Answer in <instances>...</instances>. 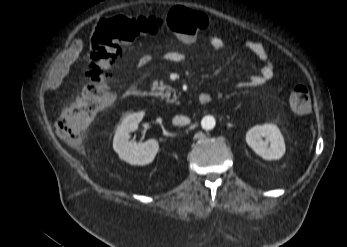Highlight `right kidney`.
<instances>
[{"label": "right kidney", "mask_w": 347, "mask_h": 247, "mask_svg": "<svg viewBox=\"0 0 347 247\" xmlns=\"http://www.w3.org/2000/svg\"><path fill=\"white\" fill-rule=\"evenodd\" d=\"M143 116L144 112H138L125 117L118 125L113 139L114 151L121 160L131 165H147L154 160L158 152V143L155 139L142 144L129 140L130 132L137 130Z\"/></svg>", "instance_id": "right-kidney-1"}]
</instances>
